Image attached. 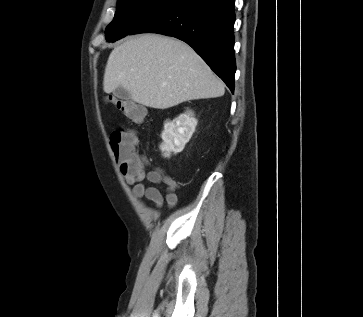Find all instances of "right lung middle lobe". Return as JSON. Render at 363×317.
Segmentation results:
<instances>
[{"mask_svg": "<svg viewBox=\"0 0 363 317\" xmlns=\"http://www.w3.org/2000/svg\"><path fill=\"white\" fill-rule=\"evenodd\" d=\"M177 0H118L113 21L106 28L108 42L116 41Z\"/></svg>", "mask_w": 363, "mask_h": 317, "instance_id": "dd1d6c3e", "label": "right lung middle lobe"}]
</instances>
